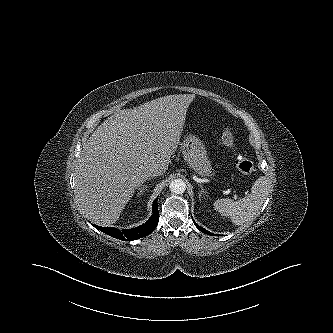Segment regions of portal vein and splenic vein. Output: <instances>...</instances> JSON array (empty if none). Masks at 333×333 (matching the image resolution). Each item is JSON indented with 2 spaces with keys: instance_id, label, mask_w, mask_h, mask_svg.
Segmentation results:
<instances>
[{
  "instance_id": "obj_1",
  "label": "portal vein and splenic vein",
  "mask_w": 333,
  "mask_h": 333,
  "mask_svg": "<svg viewBox=\"0 0 333 333\" xmlns=\"http://www.w3.org/2000/svg\"><path fill=\"white\" fill-rule=\"evenodd\" d=\"M234 198L236 199V198H237V196L235 195V196H234Z\"/></svg>"
}]
</instances>
